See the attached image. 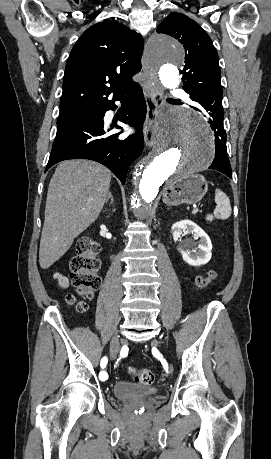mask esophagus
Returning <instances> with one entry per match:
<instances>
[{
  "label": "esophagus",
  "mask_w": 271,
  "mask_h": 459,
  "mask_svg": "<svg viewBox=\"0 0 271 459\" xmlns=\"http://www.w3.org/2000/svg\"><path fill=\"white\" fill-rule=\"evenodd\" d=\"M140 69H143L145 83L143 86L144 97L147 105V113L145 119L144 141L147 148L152 147L155 142L156 123L158 117V105L155 100L157 93L156 85L153 77L151 60H140Z\"/></svg>",
  "instance_id": "obj_1"
}]
</instances>
